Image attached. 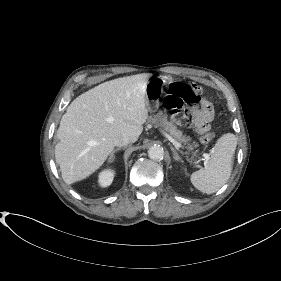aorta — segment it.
Masks as SVG:
<instances>
[{
  "label": "aorta",
  "mask_w": 281,
  "mask_h": 281,
  "mask_svg": "<svg viewBox=\"0 0 281 281\" xmlns=\"http://www.w3.org/2000/svg\"><path fill=\"white\" fill-rule=\"evenodd\" d=\"M148 156L153 160H162L164 157V150L160 146H152L148 150Z\"/></svg>",
  "instance_id": "aorta-1"
}]
</instances>
